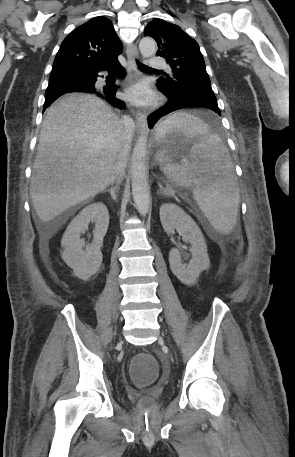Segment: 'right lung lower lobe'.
I'll use <instances>...</instances> for the list:
<instances>
[{"label":"right lung lower lobe","mask_w":295,"mask_h":457,"mask_svg":"<svg viewBox=\"0 0 295 457\" xmlns=\"http://www.w3.org/2000/svg\"><path fill=\"white\" fill-rule=\"evenodd\" d=\"M99 71H108L118 74V77L125 76V69L121 66L118 59L104 64L100 68L90 72L84 76H76L72 78L52 77L49 78V86L46 91H51V96H45L44 110L48 105L58 97L68 92H88L94 93L105 99L110 105L119 109L125 108V103L116 97L118 86L106 85L103 88L95 86L96 78Z\"/></svg>","instance_id":"98d812e1"}]
</instances>
